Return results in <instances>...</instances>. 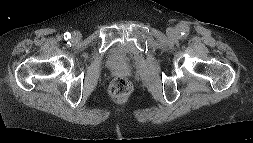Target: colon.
Masks as SVG:
<instances>
[{"mask_svg":"<svg viewBox=\"0 0 253 143\" xmlns=\"http://www.w3.org/2000/svg\"><path fill=\"white\" fill-rule=\"evenodd\" d=\"M131 92V83L125 77L114 78L109 85V93L114 98H123Z\"/></svg>","mask_w":253,"mask_h":143,"instance_id":"5ec220e1","label":"colon"}]
</instances>
